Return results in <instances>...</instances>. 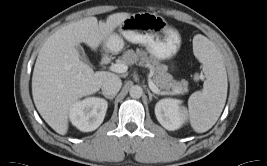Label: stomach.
Instances as JSON below:
<instances>
[{"label":"stomach","instance_id":"obj_1","mask_svg":"<svg viewBox=\"0 0 267 166\" xmlns=\"http://www.w3.org/2000/svg\"><path fill=\"white\" fill-rule=\"evenodd\" d=\"M124 39L142 44L159 60L172 58L181 44L179 33L166 20L149 12H138L127 17L119 26V34L112 33L104 40V47L110 52H119L124 47Z\"/></svg>","mask_w":267,"mask_h":166}]
</instances>
